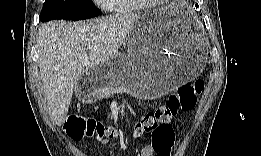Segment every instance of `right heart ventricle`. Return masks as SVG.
<instances>
[{"label":"right heart ventricle","mask_w":261,"mask_h":156,"mask_svg":"<svg viewBox=\"0 0 261 156\" xmlns=\"http://www.w3.org/2000/svg\"><path fill=\"white\" fill-rule=\"evenodd\" d=\"M111 4H112L113 8H115L116 10H121L126 7L125 1H122V0H113V1H111Z\"/></svg>","instance_id":"obj_1"}]
</instances>
